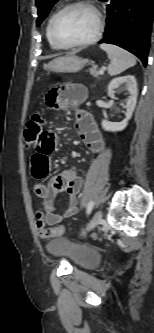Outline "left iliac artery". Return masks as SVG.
<instances>
[{
  "instance_id": "1",
  "label": "left iliac artery",
  "mask_w": 154,
  "mask_h": 333,
  "mask_svg": "<svg viewBox=\"0 0 154 333\" xmlns=\"http://www.w3.org/2000/svg\"><path fill=\"white\" fill-rule=\"evenodd\" d=\"M94 207V201H90L87 205V214L89 215Z\"/></svg>"
}]
</instances>
